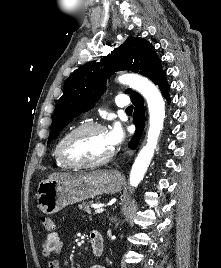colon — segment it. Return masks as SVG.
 I'll return each instance as SVG.
<instances>
[{"label":"colon","mask_w":221,"mask_h":268,"mask_svg":"<svg viewBox=\"0 0 221 268\" xmlns=\"http://www.w3.org/2000/svg\"><path fill=\"white\" fill-rule=\"evenodd\" d=\"M41 223L46 231H51L55 227L53 219L47 216L41 218Z\"/></svg>","instance_id":"colon-1"}]
</instances>
